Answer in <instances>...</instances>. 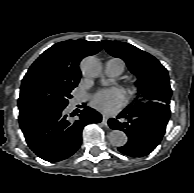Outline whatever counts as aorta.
Returning a JSON list of instances; mask_svg holds the SVG:
<instances>
[{
    "label": "aorta",
    "mask_w": 194,
    "mask_h": 193,
    "mask_svg": "<svg viewBox=\"0 0 194 193\" xmlns=\"http://www.w3.org/2000/svg\"><path fill=\"white\" fill-rule=\"evenodd\" d=\"M81 70L86 77H98L102 71L100 61L94 56L85 57L81 61ZM109 142L116 147H122L127 143V135L120 130H112L108 134Z\"/></svg>",
    "instance_id": "obj_1"
}]
</instances>
